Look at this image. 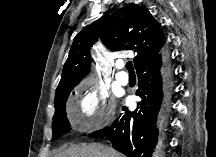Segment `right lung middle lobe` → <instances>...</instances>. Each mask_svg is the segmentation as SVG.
Listing matches in <instances>:
<instances>
[{
	"mask_svg": "<svg viewBox=\"0 0 216 157\" xmlns=\"http://www.w3.org/2000/svg\"><path fill=\"white\" fill-rule=\"evenodd\" d=\"M71 89H65L55 98V114L53 116V137L52 140H56L58 137L68 133L70 131V123L66 117V101L71 92Z\"/></svg>",
	"mask_w": 216,
	"mask_h": 157,
	"instance_id": "right-lung-middle-lobe-1",
	"label": "right lung middle lobe"
}]
</instances>
